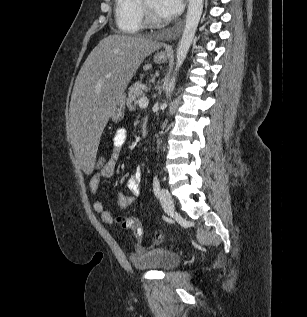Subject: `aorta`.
Returning a JSON list of instances; mask_svg holds the SVG:
<instances>
[{"label":"aorta","instance_id":"1","mask_svg":"<svg viewBox=\"0 0 307 317\" xmlns=\"http://www.w3.org/2000/svg\"><path fill=\"white\" fill-rule=\"evenodd\" d=\"M202 11H203V0H189L185 27H184L181 40L179 41V44L177 47V52H176L175 74L167 87V91H166L167 96L169 95L170 91H172L175 87L177 72L182 66L187 56V53L190 49V46L194 39L195 32L202 15ZM163 105L166 107L167 103L165 102Z\"/></svg>","mask_w":307,"mask_h":317}]
</instances>
